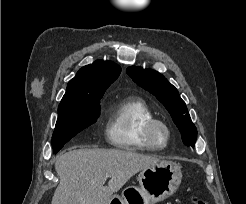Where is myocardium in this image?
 Returning a JSON list of instances; mask_svg holds the SVG:
<instances>
[{"instance_id":"myocardium-1","label":"myocardium","mask_w":246,"mask_h":204,"mask_svg":"<svg viewBox=\"0 0 246 204\" xmlns=\"http://www.w3.org/2000/svg\"><path fill=\"white\" fill-rule=\"evenodd\" d=\"M159 129H163L166 133V139L163 143L157 140V131ZM142 135L145 143L151 149L163 150L169 145L172 139V130L165 121L153 118L145 125Z\"/></svg>"}]
</instances>
